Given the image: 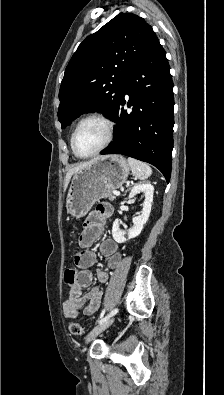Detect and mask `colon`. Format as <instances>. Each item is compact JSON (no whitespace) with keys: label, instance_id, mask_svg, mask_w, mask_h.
<instances>
[{"label":"colon","instance_id":"5ec220e1","mask_svg":"<svg viewBox=\"0 0 224 395\" xmlns=\"http://www.w3.org/2000/svg\"><path fill=\"white\" fill-rule=\"evenodd\" d=\"M76 271L73 268H68L64 272V282L67 286L73 287L75 284ZM69 332L74 336H81L84 334L83 325L80 322H71L69 324Z\"/></svg>","mask_w":224,"mask_h":395}]
</instances>
